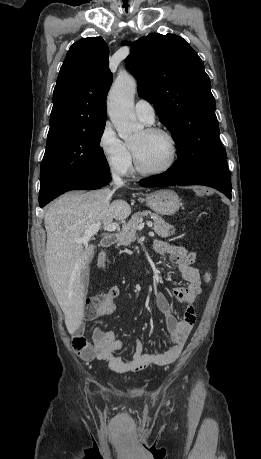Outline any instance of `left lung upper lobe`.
Returning a JSON list of instances; mask_svg holds the SVG:
<instances>
[{"label": "left lung upper lobe", "instance_id": "obj_1", "mask_svg": "<svg viewBox=\"0 0 261 459\" xmlns=\"http://www.w3.org/2000/svg\"><path fill=\"white\" fill-rule=\"evenodd\" d=\"M127 66L138 80L140 97L154 105L179 149L172 168L185 174L226 160L209 77L183 38L173 34L142 37L132 45Z\"/></svg>", "mask_w": 261, "mask_h": 459}]
</instances>
